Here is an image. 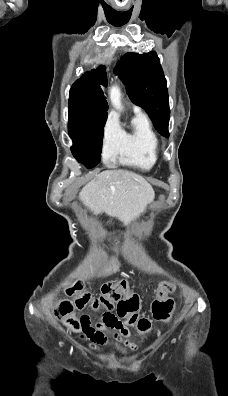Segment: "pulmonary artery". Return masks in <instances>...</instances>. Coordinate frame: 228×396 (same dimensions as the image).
<instances>
[{
    "mask_svg": "<svg viewBox=\"0 0 228 396\" xmlns=\"http://www.w3.org/2000/svg\"><path fill=\"white\" fill-rule=\"evenodd\" d=\"M134 111H135V112H140V108L137 107V106H135V107H134Z\"/></svg>",
    "mask_w": 228,
    "mask_h": 396,
    "instance_id": "1",
    "label": "pulmonary artery"
}]
</instances>
